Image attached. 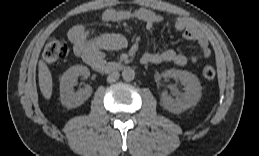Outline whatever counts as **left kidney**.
Instances as JSON below:
<instances>
[{"label":"left kidney","instance_id":"5707ae66","mask_svg":"<svg viewBox=\"0 0 259 156\" xmlns=\"http://www.w3.org/2000/svg\"><path fill=\"white\" fill-rule=\"evenodd\" d=\"M162 77L179 79L185 86V92L179 98H172L166 92L161 95V105L172 113H180L195 106L201 98V85L197 76L185 70L170 69Z\"/></svg>","mask_w":259,"mask_h":156}]
</instances>
